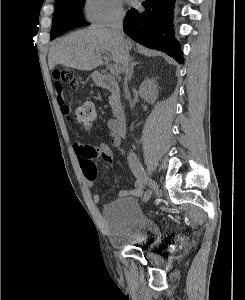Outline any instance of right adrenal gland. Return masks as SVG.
Segmentation results:
<instances>
[{
  "mask_svg": "<svg viewBox=\"0 0 245 300\" xmlns=\"http://www.w3.org/2000/svg\"><path fill=\"white\" fill-rule=\"evenodd\" d=\"M137 64H139V62H135L133 57H131L130 58V69H129V73L127 74L128 79L132 78L134 66H136Z\"/></svg>",
  "mask_w": 245,
  "mask_h": 300,
  "instance_id": "1",
  "label": "right adrenal gland"
}]
</instances>
